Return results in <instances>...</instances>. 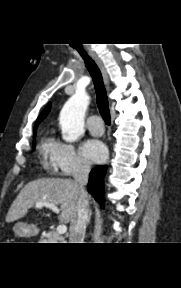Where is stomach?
I'll list each match as a JSON object with an SVG mask.
<instances>
[{
    "mask_svg": "<svg viewBox=\"0 0 181 288\" xmlns=\"http://www.w3.org/2000/svg\"><path fill=\"white\" fill-rule=\"evenodd\" d=\"M13 230L15 235L20 238H29L35 236L38 232L35 227L22 222L16 223Z\"/></svg>",
    "mask_w": 181,
    "mask_h": 288,
    "instance_id": "stomach-1",
    "label": "stomach"
}]
</instances>
